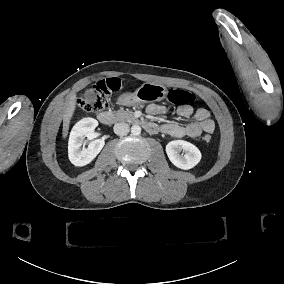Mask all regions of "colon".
Returning a JSON list of instances; mask_svg holds the SVG:
<instances>
[{
	"label": "colon",
	"instance_id": "obj_1",
	"mask_svg": "<svg viewBox=\"0 0 284 284\" xmlns=\"http://www.w3.org/2000/svg\"><path fill=\"white\" fill-rule=\"evenodd\" d=\"M123 86L119 78H107L102 81L101 86L84 92V108L87 111H101L107 106V98L111 93L119 91ZM168 103L175 108L181 107L184 109L191 108L196 101L195 95L185 88H175L167 97ZM205 141L210 140L208 134L204 135Z\"/></svg>",
	"mask_w": 284,
	"mask_h": 284
}]
</instances>
